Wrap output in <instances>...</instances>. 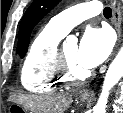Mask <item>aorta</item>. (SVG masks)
Here are the masks:
<instances>
[{
    "mask_svg": "<svg viewBox=\"0 0 123 113\" xmlns=\"http://www.w3.org/2000/svg\"><path fill=\"white\" fill-rule=\"evenodd\" d=\"M67 40H76L75 37H68ZM123 77V46L119 50L115 59L112 61L109 69L105 75L102 91L96 106L93 109V113H106V107L108 102V96L110 90L115 84Z\"/></svg>",
    "mask_w": 123,
    "mask_h": 113,
    "instance_id": "1",
    "label": "aorta"
}]
</instances>
